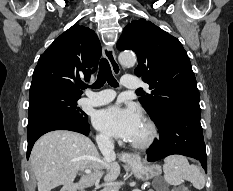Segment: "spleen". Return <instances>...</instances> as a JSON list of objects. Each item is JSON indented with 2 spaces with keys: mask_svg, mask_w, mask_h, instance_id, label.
<instances>
[{
  "mask_svg": "<svg viewBox=\"0 0 233 191\" xmlns=\"http://www.w3.org/2000/svg\"><path fill=\"white\" fill-rule=\"evenodd\" d=\"M164 179L173 186L182 184L185 180L190 181L197 189L205 185L203 174L196 165H190L187 158L181 155H172L164 159Z\"/></svg>",
  "mask_w": 233,
  "mask_h": 191,
  "instance_id": "1",
  "label": "spleen"
}]
</instances>
